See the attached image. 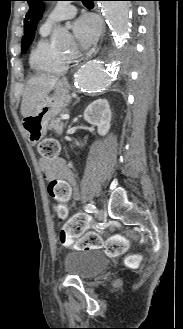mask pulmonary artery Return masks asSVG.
Listing matches in <instances>:
<instances>
[{
	"label": "pulmonary artery",
	"instance_id": "e3ab8cb5",
	"mask_svg": "<svg viewBox=\"0 0 183 329\" xmlns=\"http://www.w3.org/2000/svg\"><path fill=\"white\" fill-rule=\"evenodd\" d=\"M76 14V7L69 2H59L44 20L41 31L49 32L58 22L72 18Z\"/></svg>",
	"mask_w": 183,
	"mask_h": 329
}]
</instances>
